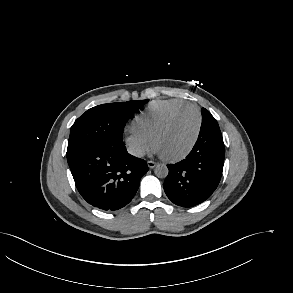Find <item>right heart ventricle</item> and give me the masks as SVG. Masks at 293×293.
Here are the masks:
<instances>
[{"instance_id":"1","label":"right heart ventricle","mask_w":293,"mask_h":293,"mask_svg":"<svg viewBox=\"0 0 293 293\" xmlns=\"http://www.w3.org/2000/svg\"><path fill=\"white\" fill-rule=\"evenodd\" d=\"M189 104L187 101L179 98L155 100L142 113L135 117L132 122V127L136 132L150 139L154 131L170 113Z\"/></svg>"}]
</instances>
